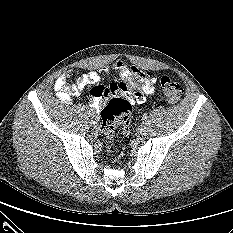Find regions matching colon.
Returning a JSON list of instances; mask_svg holds the SVG:
<instances>
[{
    "instance_id": "1",
    "label": "colon",
    "mask_w": 233,
    "mask_h": 233,
    "mask_svg": "<svg viewBox=\"0 0 233 233\" xmlns=\"http://www.w3.org/2000/svg\"><path fill=\"white\" fill-rule=\"evenodd\" d=\"M146 73L133 67L130 71L131 84L129 91L134 96L140 94V88L146 78ZM161 89L169 103H177L183 94V89L177 82L167 76L160 79ZM131 102L127 96H114L101 111L100 134L107 143V151L115 155L118 153V146L114 143L115 124L120 123L124 132L129 131V113Z\"/></svg>"
}]
</instances>
